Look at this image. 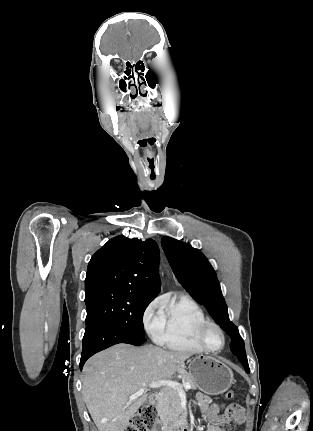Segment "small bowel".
Wrapping results in <instances>:
<instances>
[{
    "mask_svg": "<svg viewBox=\"0 0 313 431\" xmlns=\"http://www.w3.org/2000/svg\"><path fill=\"white\" fill-rule=\"evenodd\" d=\"M197 403L206 422V431H226V424H242L245 416L243 409L236 404L223 402L211 403L209 396L198 393Z\"/></svg>",
    "mask_w": 313,
    "mask_h": 431,
    "instance_id": "small-bowel-1",
    "label": "small bowel"
}]
</instances>
